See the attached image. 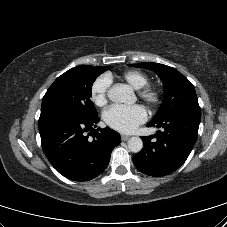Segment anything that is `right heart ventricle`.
<instances>
[{"label": "right heart ventricle", "instance_id": "e07e8e85", "mask_svg": "<svg viewBox=\"0 0 227 227\" xmlns=\"http://www.w3.org/2000/svg\"><path fill=\"white\" fill-rule=\"evenodd\" d=\"M122 78L135 89H141L148 83V77L138 70L125 71Z\"/></svg>", "mask_w": 227, "mask_h": 227}]
</instances>
